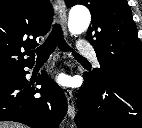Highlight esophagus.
Segmentation results:
<instances>
[{"mask_svg": "<svg viewBox=\"0 0 142 128\" xmlns=\"http://www.w3.org/2000/svg\"><path fill=\"white\" fill-rule=\"evenodd\" d=\"M57 7L59 10V14H60V22L61 25L63 27V30L65 31L66 29V23H67V16H66V7H65V2L64 0H57ZM59 50H57V56L59 57L60 55ZM66 98H67V102H68V111L67 114L70 118H74L75 116V104H74V96L73 93L70 89L65 88L64 89Z\"/></svg>", "mask_w": 142, "mask_h": 128, "instance_id": "34e87169", "label": "esophagus"}]
</instances>
